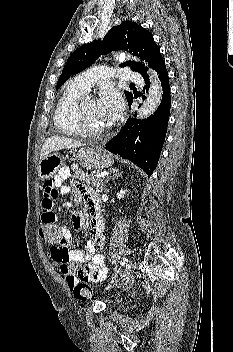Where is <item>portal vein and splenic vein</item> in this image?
Masks as SVG:
<instances>
[{
	"instance_id": "18ae733b",
	"label": "portal vein and splenic vein",
	"mask_w": 233,
	"mask_h": 352,
	"mask_svg": "<svg viewBox=\"0 0 233 352\" xmlns=\"http://www.w3.org/2000/svg\"><path fill=\"white\" fill-rule=\"evenodd\" d=\"M107 175H108L107 172H101V173L96 174L95 176H96V177H105V176H107Z\"/></svg>"
}]
</instances>
